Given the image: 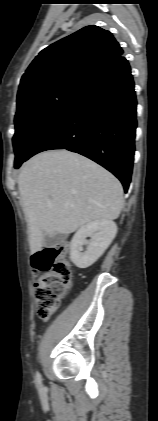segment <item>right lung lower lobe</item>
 Instances as JSON below:
<instances>
[{
  "instance_id": "1",
  "label": "right lung lower lobe",
  "mask_w": 158,
  "mask_h": 421,
  "mask_svg": "<svg viewBox=\"0 0 158 421\" xmlns=\"http://www.w3.org/2000/svg\"><path fill=\"white\" fill-rule=\"evenodd\" d=\"M136 105L130 65L121 56L84 84L36 141L27 159L52 149L77 152L112 172L127 192L135 151Z\"/></svg>"
}]
</instances>
